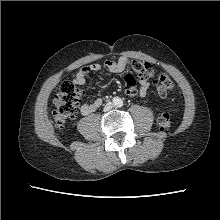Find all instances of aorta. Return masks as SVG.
Instances as JSON below:
<instances>
[{
    "mask_svg": "<svg viewBox=\"0 0 220 220\" xmlns=\"http://www.w3.org/2000/svg\"><path fill=\"white\" fill-rule=\"evenodd\" d=\"M122 100L120 98H115L114 99V105L117 107H120L122 105Z\"/></svg>",
    "mask_w": 220,
    "mask_h": 220,
    "instance_id": "obj_1",
    "label": "aorta"
}]
</instances>
